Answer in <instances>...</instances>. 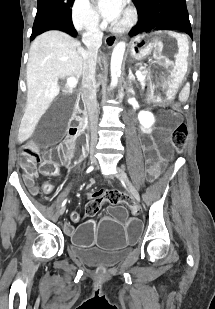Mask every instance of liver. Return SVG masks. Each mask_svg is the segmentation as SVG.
<instances>
[{"mask_svg": "<svg viewBox=\"0 0 215 309\" xmlns=\"http://www.w3.org/2000/svg\"><path fill=\"white\" fill-rule=\"evenodd\" d=\"M85 48L62 30H47L33 40L27 62V106L21 120L18 140L24 142L60 92L59 78H80ZM101 58L98 56L97 62Z\"/></svg>", "mask_w": 215, "mask_h": 309, "instance_id": "liver-1", "label": "liver"}]
</instances>
